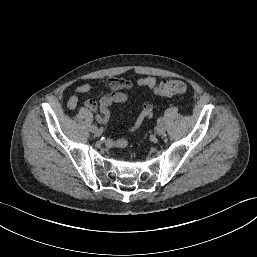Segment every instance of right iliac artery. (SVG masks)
I'll return each mask as SVG.
<instances>
[{"label": "right iliac artery", "instance_id": "1", "mask_svg": "<svg viewBox=\"0 0 257 257\" xmlns=\"http://www.w3.org/2000/svg\"><path fill=\"white\" fill-rule=\"evenodd\" d=\"M96 129H98V127H97L96 125H92V126H91L92 132L95 131Z\"/></svg>", "mask_w": 257, "mask_h": 257}]
</instances>
